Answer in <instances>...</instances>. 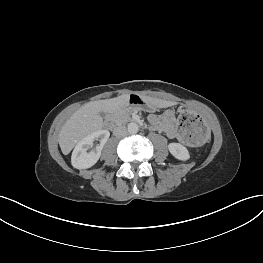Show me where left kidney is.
Returning a JSON list of instances; mask_svg holds the SVG:
<instances>
[{"label":"left kidney","mask_w":263,"mask_h":263,"mask_svg":"<svg viewBox=\"0 0 263 263\" xmlns=\"http://www.w3.org/2000/svg\"><path fill=\"white\" fill-rule=\"evenodd\" d=\"M170 153L178 160L186 161L190 158L188 149L180 143H170L168 145Z\"/></svg>","instance_id":"obj_1"}]
</instances>
